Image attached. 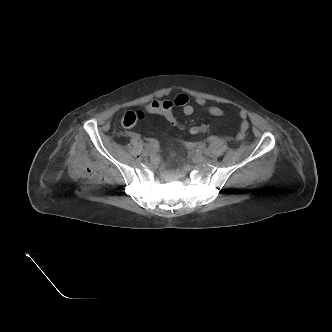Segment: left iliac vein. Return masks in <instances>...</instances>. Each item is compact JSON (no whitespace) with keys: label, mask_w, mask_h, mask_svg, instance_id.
Listing matches in <instances>:
<instances>
[{"label":"left iliac vein","mask_w":332,"mask_h":332,"mask_svg":"<svg viewBox=\"0 0 332 332\" xmlns=\"http://www.w3.org/2000/svg\"><path fill=\"white\" fill-rule=\"evenodd\" d=\"M193 160H194L195 162H204V161H205V157L202 156V155H200V154H198V153H195V154L193 155Z\"/></svg>","instance_id":"1"}]
</instances>
